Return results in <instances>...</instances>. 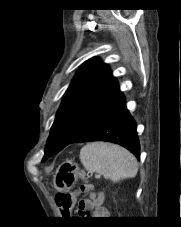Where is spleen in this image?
I'll use <instances>...</instances> for the list:
<instances>
[{
	"label": "spleen",
	"mask_w": 181,
	"mask_h": 227,
	"mask_svg": "<svg viewBox=\"0 0 181 227\" xmlns=\"http://www.w3.org/2000/svg\"><path fill=\"white\" fill-rule=\"evenodd\" d=\"M80 160L87 171L97 172L113 182L133 178L138 171L133 154L121 146L106 142L86 144L80 150Z\"/></svg>",
	"instance_id": "1"
}]
</instances>
